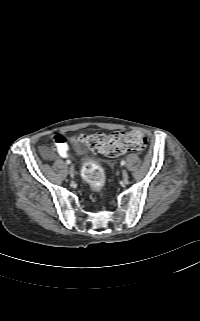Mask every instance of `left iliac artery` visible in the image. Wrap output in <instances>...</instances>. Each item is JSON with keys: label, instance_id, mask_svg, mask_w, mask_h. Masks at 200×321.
Wrapping results in <instances>:
<instances>
[{"label": "left iliac artery", "instance_id": "44dca946", "mask_svg": "<svg viewBox=\"0 0 200 321\" xmlns=\"http://www.w3.org/2000/svg\"><path fill=\"white\" fill-rule=\"evenodd\" d=\"M126 162L124 160L121 161V165L124 166Z\"/></svg>", "mask_w": 200, "mask_h": 321}]
</instances>
